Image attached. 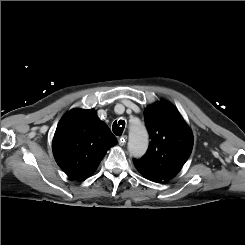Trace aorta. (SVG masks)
Instances as JSON below:
<instances>
[{
	"label": "aorta",
	"instance_id": "aorta-1",
	"mask_svg": "<svg viewBox=\"0 0 245 245\" xmlns=\"http://www.w3.org/2000/svg\"><path fill=\"white\" fill-rule=\"evenodd\" d=\"M128 151L131 156L141 157L148 148V133L140 120L131 123L129 127Z\"/></svg>",
	"mask_w": 245,
	"mask_h": 245
}]
</instances>
